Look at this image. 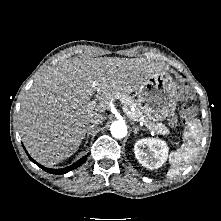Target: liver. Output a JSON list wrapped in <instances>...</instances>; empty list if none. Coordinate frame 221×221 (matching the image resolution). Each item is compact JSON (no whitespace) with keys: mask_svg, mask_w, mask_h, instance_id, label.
I'll return each instance as SVG.
<instances>
[{"mask_svg":"<svg viewBox=\"0 0 221 221\" xmlns=\"http://www.w3.org/2000/svg\"><path fill=\"white\" fill-rule=\"evenodd\" d=\"M163 65L144 58L74 57L49 68L27 91L20 133L31 157L51 167L75 153L90 119L105 118L109 101L126 97ZM95 96L96 101H90Z\"/></svg>","mask_w":221,"mask_h":221,"instance_id":"liver-1","label":"liver"}]
</instances>
